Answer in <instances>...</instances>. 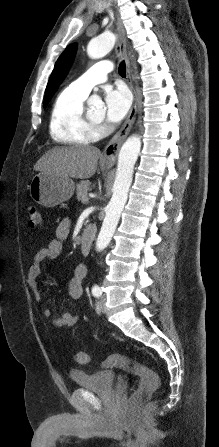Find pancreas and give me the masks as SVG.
Returning <instances> with one entry per match:
<instances>
[{
	"mask_svg": "<svg viewBox=\"0 0 219 447\" xmlns=\"http://www.w3.org/2000/svg\"><path fill=\"white\" fill-rule=\"evenodd\" d=\"M90 185H91V182L88 180L81 181L80 183L77 184L76 194H77V199L79 201H82L83 197L87 196L88 190L90 189Z\"/></svg>",
	"mask_w": 219,
	"mask_h": 447,
	"instance_id": "1",
	"label": "pancreas"
}]
</instances>
